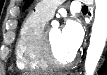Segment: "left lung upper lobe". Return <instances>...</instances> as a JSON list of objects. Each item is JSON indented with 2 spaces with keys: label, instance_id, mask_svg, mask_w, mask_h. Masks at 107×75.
Segmentation results:
<instances>
[{
  "label": "left lung upper lobe",
  "instance_id": "left-lung-upper-lobe-1",
  "mask_svg": "<svg viewBox=\"0 0 107 75\" xmlns=\"http://www.w3.org/2000/svg\"><path fill=\"white\" fill-rule=\"evenodd\" d=\"M30 2H31V0H28L27 3H26V6H28ZM26 6H25V7H26Z\"/></svg>",
  "mask_w": 107,
  "mask_h": 75
}]
</instances>
